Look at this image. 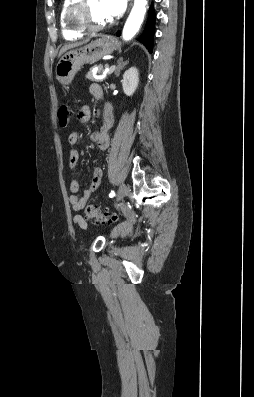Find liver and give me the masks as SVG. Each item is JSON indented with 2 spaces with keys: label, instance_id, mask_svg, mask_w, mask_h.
<instances>
[{
  "label": "liver",
  "instance_id": "obj_1",
  "mask_svg": "<svg viewBox=\"0 0 254 397\" xmlns=\"http://www.w3.org/2000/svg\"><path fill=\"white\" fill-rule=\"evenodd\" d=\"M88 41H89V39H84V40H82V41H80V42H75V43H72V44H68V45L63 46V47L61 48L60 52H59V56H61V55H62L64 52H66L67 50H69V49H71V48H74V47H78V46H80V45H83V44L87 43Z\"/></svg>",
  "mask_w": 254,
  "mask_h": 397
}]
</instances>
